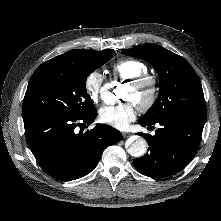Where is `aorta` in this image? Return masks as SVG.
<instances>
[{"label":"aorta","instance_id":"obj_1","mask_svg":"<svg viewBox=\"0 0 221 221\" xmlns=\"http://www.w3.org/2000/svg\"><path fill=\"white\" fill-rule=\"evenodd\" d=\"M118 87L113 89V93L118 95ZM147 151V142L142 137H136L131 145L128 147L127 152L133 157H142Z\"/></svg>","mask_w":221,"mask_h":221}]
</instances>
